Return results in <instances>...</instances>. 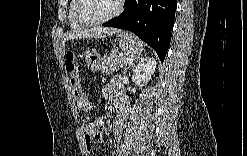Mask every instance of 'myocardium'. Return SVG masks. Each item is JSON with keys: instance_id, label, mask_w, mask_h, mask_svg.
Returning a JSON list of instances; mask_svg holds the SVG:
<instances>
[{"instance_id": "1", "label": "myocardium", "mask_w": 247, "mask_h": 156, "mask_svg": "<svg viewBox=\"0 0 247 156\" xmlns=\"http://www.w3.org/2000/svg\"><path fill=\"white\" fill-rule=\"evenodd\" d=\"M85 2L86 0H79L77 7H76V12H75V17H76L77 22L83 27H95V26L104 24L112 20L116 16H118L122 10V2L120 0H116L113 11L107 16H104L102 18H98L95 20H86L82 17V10H83Z\"/></svg>"}]
</instances>
